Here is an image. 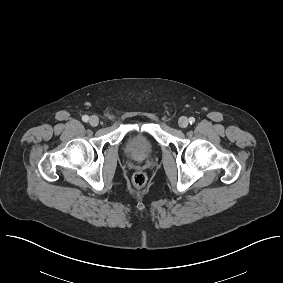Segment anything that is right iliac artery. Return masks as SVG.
Masks as SVG:
<instances>
[{"mask_svg": "<svg viewBox=\"0 0 283 283\" xmlns=\"http://www.w3.org/2000/svg\"><path fill=\"white\" fill-rule=\"evenodd\" d=\"M82 120H83L84 122H88L89 117H88L87 115H84V116L82 117Z\"/></svg>", "mask_w": 283, "mask_h": 283, "instance_id": "obj_1", "label": "right iliac artery"}]
</instances>
